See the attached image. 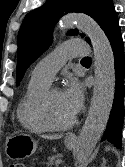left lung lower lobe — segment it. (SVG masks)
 <instances>
[{
  "label": "left lung lower lobe",
  "instance_id": "1",
  "mask_svg": "<svg viewBox=\"0 0 125 167\" xmlns=\"http://www.w3.org/2000/svg\"><path fill=\"white\" fill-rule=\"evenodd\" d=\"M107 37L112 46L114 61H115V96L113 106L106 130L101 141H108L115 147L121 148V131L124 118V47L121 36V31L116 19L107 32Z\"/></svg>",
  "mask_w": 125,
  "mask_h": 167
}]
</instances>
